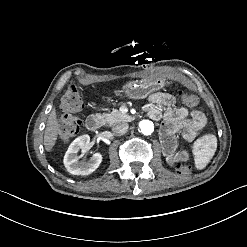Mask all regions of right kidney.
I'll return each instance as SVG.
<instances>
[{"label": "right kidney", "mask_w": 247, "mask_h": 247, "mask_svg": "<svg viewBox=\"0 0 247 247\" xmlns=\"http://www.w3.org/2000/svg\"><path fill=\"white\" fill-rule=\"evenodd\" d=\"M90 142L88 134L76 138L69 146L64 156L66 170L73 175H89L93 173L101 164L103 156L100 152H95L87 162H79L78 151L82 147H87Z\"/></svg>", "instance_id": "1"}]
</instances>
